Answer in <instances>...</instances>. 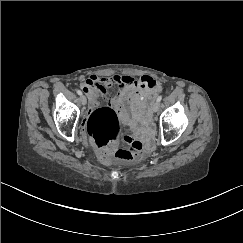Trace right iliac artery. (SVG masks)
Returning a JSON list of instances; mask_svg holds the SVG:
<instances>
[{
	"mask_svg": "<svg viewBox=\"0 0 243 243\" xmlns=\"http://www.w3.org/2000/svg\"><path fill=\"white\" fill-rule=\"evenodd\" d=\"M78 95H82V92L80 90L76 91Z\"/></svg>",
	"mask_w": 243,
	"mask_h": 243,
	"instance_id": "1",
	"label": "right iliac artery"
}]
</instances>
